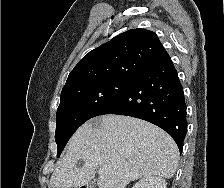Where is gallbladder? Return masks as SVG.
Returning a JSON list of instances; mask_svg holds the SVG:
<instances>
[{"mask_svg": "<svg viewBox=\"0 0 224 188\" xmlns=\"http://www.w3.org/2000/svg\"><path fill=\"white\" fill-rule=\"evenodd\" d=\"M95 187H96L95 182H89V183L87 184V188H95Z\"/></svg>", "mask_w": 224, "mask_h": 188, "instance_id": "gallbladder-1", "label": "gallbladder"}]
</instances>
